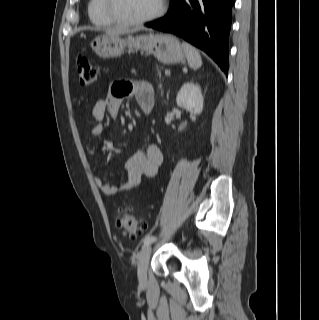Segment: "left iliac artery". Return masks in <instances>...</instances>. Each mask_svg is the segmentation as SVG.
I'll use <instances>...</instances> for the list:
<instances>
[{
	"instance_id": "44dca946",
	"label": "left iliac artery",
	"mask_w": 319,
	"mask_h": 320,
	"mask_svg": "<svg viewBox=\"0 0 319 320\" xmlns=\"http://www.w3.org/2000/svg\"><path fill=\"white\" fill-rule=\"evenodd\" d=\"M154 241H156V237L153 235H149L144 239V246L149 245V244L153 243Z\"/></svg>"
}]
</instances>
